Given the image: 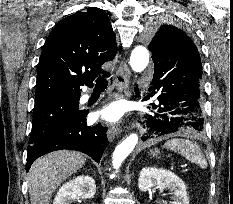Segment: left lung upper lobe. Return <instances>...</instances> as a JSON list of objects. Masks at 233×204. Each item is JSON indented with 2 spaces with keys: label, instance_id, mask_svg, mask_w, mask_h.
Returning a JSON list of instances; mask_svg holds the SVG:
<instances>
[{
  "label": "left lung upper lobe",
  "instance_id": "left-lung-upper-lobe-1",
  "mask_svg": "<svg viewBox=\"0 0 233 204\" xmlns=\"http://www.w3.org/2000/svg\"><path fill=\"white\" fill-rule=\"evenodd\" d=\"M149 50L152 58L161 49H177L192 60L196 75L202 80V64L193 36L181 27L160 23L153 24L148 31Z\"/></svg>",
  "mask_w": 233,
  "mask_h": 204
}]
</instances>
